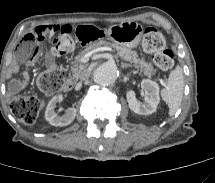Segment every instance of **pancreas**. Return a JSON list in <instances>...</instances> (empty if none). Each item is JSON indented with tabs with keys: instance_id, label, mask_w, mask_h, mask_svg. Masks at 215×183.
Masks as SVG:
<instances>
[{
	"instance_id": "pancreas-1",
	"label": "pancreas",
	"mask_w": 215,
	"mask_h": 183,
	"mask_svg": "<svg viewBox=\"0 0 215 183\" xmlns=\"http://www.w3.org/2000/svg\"><path fill=\"white\" fill-rule=\"evenodd\" d=\"M101 46H110L113 47L117 50L119 57L125 61H129L130 63L133 64V66L137 69H141V71L144 73L145 76L147 77H151L152 74H154L155 70L152 67L151 63L145 62L142 59L138 58V55L135 51H132L129 48L126 47H122L116 43H110L107 42L106 40H100L98 42H95L91 45H89L88 47H86V49H84L83 51H81L79 53V55H77L75 57V61L72 62V66H71V72H72V78L73 79H79L81 73L86 69V65L82 64L80 62L81 57L86 54L87 52L94 50L96 48H99Z\"/></svg>"
}]
</instances>
